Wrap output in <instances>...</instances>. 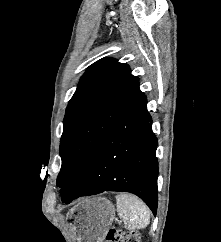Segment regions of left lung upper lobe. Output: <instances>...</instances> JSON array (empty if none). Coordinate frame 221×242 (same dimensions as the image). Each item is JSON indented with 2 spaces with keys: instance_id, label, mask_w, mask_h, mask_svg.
Segmentation results:
<instances>
[{
  "instance_id": "left-lung-upper-lobe-1",
  "label": "left lung upper lobe",
  "mask_w": 221,
  "mask_h": 242,
  "mask_svg": "<svg viewBox=\"0 0 221 242\" xmlns=\"http://www.w3.org/2000/svg\"><path fill=\"white\" fill-rule=\"evenodd\" d=\"M127 64L103 58L88 67L68 103L60 143L57 186L64 191L99 138L143 97Z\"/></svg>"
}]
</instances>
